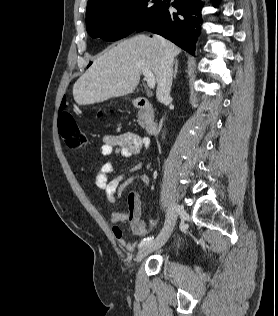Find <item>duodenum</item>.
Listing matches in <instances>:
<instances>
[{"label":"duodenum","instance_id":"410a0bca","mask_svg":"<svg viewBox=\"0 0 278 316\" xmlns=\"http://www.w3.org/2000/svg\"><path fill=\"white\" fill-rule=\"evenodd\" d=\"M131 103L140 109L148 110L151 106L150 101L145 97H134L131 99ZM158 125L155 121H149L146 125V131L148 134L153 135L157 132Z\"/></svg>","mask_w":278,"mask_h":316}]
</instances>
